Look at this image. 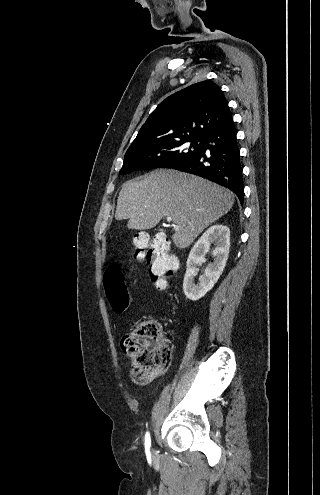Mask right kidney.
Segmentation results:
<instances>
[{
    "label": "right kidney",
    "instance_id": "1",
    "mask_svg": "<svg viewBox=\"0 0 320 495\" xmlns=\"http://www.w3.org/2000/svg\"><path fill=\"white\" fill-rule=\"evenodd\" d=\"M211 244L215 245L212 254L214 261L205 268L199 282H194L197 266L206 261L205 254ZM230 248V230L224 225H213L207 229L192 247L187 260V269L183 281V291L192 301L199 300L210 291L218 281L226 266Z\"/></svg>",
    "mask_w": 320,
    "mask_h": 495
}]
</instances>
